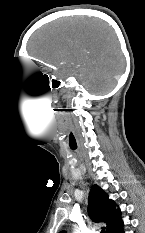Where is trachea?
<instances>
[{
	"label": "trachea",
	"mask_w": 145,
	"mask_h": 233,
	"mask_svg": "<svg viewBox=\"0 0 145 233\" xmlns=\"http://www.w3.org/2000/svg\"><path fill=\"white\" fill-rule=\"evenodd\" d=\"M101 233H105V230H101Z\"/></svg>",
	"instance_id": "3493384b"
}]
</instances>
